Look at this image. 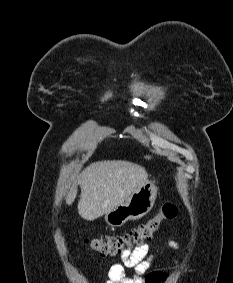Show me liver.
<instances>
[{
  "instance_id": "1",
  "label": "liver",
  "mask_w": 233,
  "mask_h": 283,
  "mask_svg": "<svg viewBox=\"0 0 233 283\" xmlns=\"http://www.w3.org/2000/svg\"><path fill=\"white\" fill-rule=\"evenodd\" d=\"M146 170L135 163L124 160H105L90 164L71 184L66 204L71 205L77 195V184L81 187L78 203L79 215L93 221L127 198L147 180Z\"/></svg>"
}]
</instances>
